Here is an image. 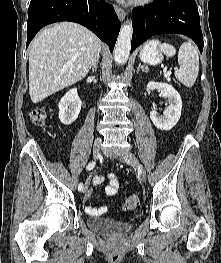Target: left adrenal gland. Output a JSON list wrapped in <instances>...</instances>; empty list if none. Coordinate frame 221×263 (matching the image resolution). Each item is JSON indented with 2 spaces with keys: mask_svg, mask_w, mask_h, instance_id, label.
<instances>
[{
  "mask_svg": "<svg viewBox=\"0 0 221 263\" xmlns=\"http://www.w3.org/2000/svg\"><path fill=\"white\" fill-rule=\"evenodd\" d=\"M140 69H142V71H144V72H148V70H149L147 66L141 65V63L138 65L137 73H139Z\"/></svg>",
  "mask_w": 221,
  "mask_h": 263,
  "instance_id": "1",
  "label": "left adrenal gland"
}]
</instances>
